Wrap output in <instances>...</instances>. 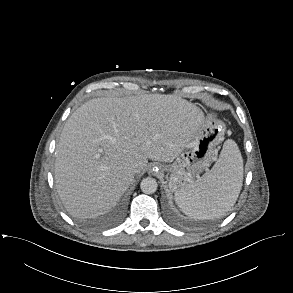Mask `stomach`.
Masks as SVG:
<instances>
[{
  "mask_svg": "<svg viewBox=\"0 0 293 293\" xmlns=\"http://www.w3.org/2000/svg\"><path fill=\"white\" fill-rule=\"evenodd\" d=\"M225 125L214 114L208 113L196 135L170 164L163 168L169 171L168 185L172 192L200 179V174L214 161L216 148L223 140Z\"/></svg>",
  "mask_w": 293,
  "mask_h": 293,
  "instance_id": "stomach-1",
  "label": "stomach"
}]
</instances>
